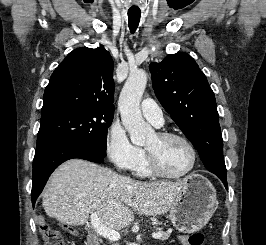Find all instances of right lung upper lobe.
Returning <instances> with one entry per match:
<instances>
[{
    "label": "right lung upper lobe",
    "mask_w": 266,
    "mask_h": 245,
    "mask_svg": "<svg viewBox=\"0 0 266 245\" xmlns=\"http://www.w3.org/2000/svg\"><path fill=\"white\" fill-rule=\"evenodd\" d=\"M114 63L104 48H77L53 72L44 92L41 119L86 107L114 112Z\"/></svg>",
    "instance_id": "obj_1"
}]
</instances>
